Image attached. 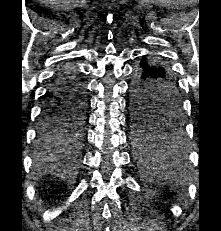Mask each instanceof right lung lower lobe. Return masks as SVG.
I'll list each match as a JSON object with an SVG mask.
<instances>
[{"label": "right lung lower lobe", "instance_id": "obj_1", "mask_svg": "<svg viewBox=\"0 0 221 231\" xmlns=\"http://www.w3.org/2000/svg\"><path fill=\"white\" fill-rule=\"evenodd\" d=\"M81 98L86 99L83 80L78 72L65 65L61 67L53 79L52 85L46 94L43 110L50 105L72 102ZM40 146L46 148L42 145Z\"/></svg>", "mask_w": 221, "mask_h": 231}]
</instances>
